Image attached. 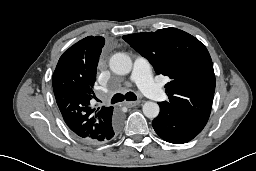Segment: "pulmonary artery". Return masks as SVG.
<instances>
[{"label":"pulmonary artery","mask_w":256,"mask_h":171,"mask_svg":"<svg viewBox=\"0 0 256 171\" xmlns=\"http://www.w3.org/2000/svg\"><path fill=\"white\" fill-rule=\"evenodd\" d=\"M131 79L138 85L143 93L154 101H162L165 97L163 90L158 87L152 78L149 62L142 57H138L133 65Z\"/></svg>","instance_id":"1"}]
</instances>
